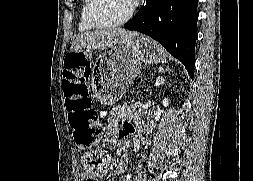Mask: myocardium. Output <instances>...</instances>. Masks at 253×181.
Listing matches in <instances>:
<instances>
[{
	"label": "myocardium",
	"instance_id": "myocardium-1",
	"mask_svg": "<svg viewBox=\"0 0 253 181\" xmlns=\"http://www.w3.org/2000/svg\"><path fill=\"white\" fill-rule=\"evenodd\" d=\"M98 2L99 0H89L87 9H86L87 21L96 28H115V27L122 26L126 24L127 22H129L135 14L136 8L135 6H132L128 14L121 20L115 21V22L105 21V20L100 19L96 14V8L98 5Z\"/></svg>",
	"mask_w": 253,
	"mask_h": 181
}]
</instances>
